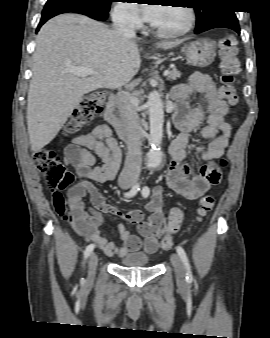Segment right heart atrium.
Masks as SVG:
<instances>
[{"instance_id": "right-heart-atrium-1", "label": "right heart atrium", "mask_w": 270, "mask_h": 338, "mask_svg": "<svg viewBox=\"0 0 270 338\" xmlns=\"http://www.w3.org/2000/svg\"><path fill=\"white\" fill-rule=\"evenodd\" d=\"M114 19L119 24L129 27H138L141 24V20L137 13L125 2L120 3L115 7Z\"/></svg>"}]
</instances>
